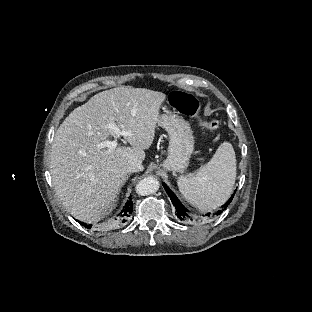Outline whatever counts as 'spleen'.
Listing matches in <instances>:
<instances>
[{"instance_id":"1","label":"spleen","mask_w":312,"mask_h":312,"mask_svg":"<svg viewBox=\"0 0 312 312\" xmlns=\"http://www.w3.org/2000/svg\"><path fill=\"white\" fill-rule=\"evenodd\" d=\"M236 179V156L233 146L223 142L212 159L195 173L179 176L181 194L193 206L211 211L230 197Z\"/></svg>"}]
</instances>
